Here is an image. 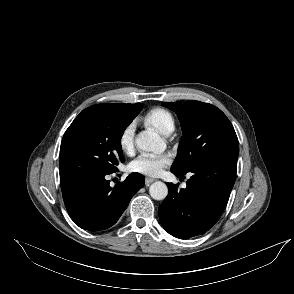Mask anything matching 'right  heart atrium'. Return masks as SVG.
Segmentation results:
<instances>
[{"mask_svg":"<svg viewBox=\"0 0 294 294\" xmlns=\"http://www.w3.org/2000/svg\"><path fill=\"white\" fill-rule=\"evenodd\" d=\"M136 123L134 121L128 123L121 131L118 143L119 147L125 154H130L135 145Z\"/></svg>","mask_w":294,"mask_h":294,"instance_id":"obj_1","label":"right heart atrium"}]
</instances>
